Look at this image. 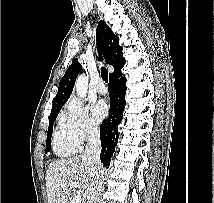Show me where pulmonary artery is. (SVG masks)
<instances>
[{
    "label": "pulmonary artery",
    "instance_id": "e3ab8cb5",
    "mask_svg": "<svg viewBox=\"0 0 214 203\" xmlns=\"http://www.w3.org/2000/svg\"><path fill=\"white\" fill-rule=\"evenodd\" d=\"M97 91L100 94H105L107 92V87L102 80H100L97 84Z\"/></svg>",
    "mask_w": 214,
    "mask_h": 203
}]
</instances>
